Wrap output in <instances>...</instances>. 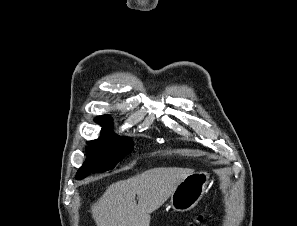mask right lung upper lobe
Wrapping results in <instances>:
<instances>
[{
  "label": "right lung upper lobe",
  "mask_w": 297,
  "mask_h": 226,
  "mask_svg": "<svg viewBox=\"0 0 297 226\" xmlns=\"http://www.w3.org/2000/svg\"><path fill=\"white\" fill-rule=\"evenodd\" d=\"M95 122L101 124L102 126H111L112 119L108 115L99 116L95 119ZM103 130H107L106 128Z\"/></svg>",
  "instance_id": "obj_1"
}]
</instances>
